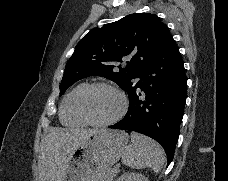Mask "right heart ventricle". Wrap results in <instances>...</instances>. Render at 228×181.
<instances>
[{
	"label": "right heart ventricle",
	"instance_id": "obj_1",
	"mask_svg": "<svg viewBox=\"0 0 228 181\" xmlns=\"http://www.w3.org/2000/svg\"><path fill=\"white\" fill-rule=\"evenodd\" d=\"M87 86L86 83L79 84L73 89L64 100L61 110V120L65 125L80 127L84 126L85 122L79 117L76 109L78 96Z\"/></svg>",
	"mask_w": 228,
	"mask_h": 181
}]
</instances>
